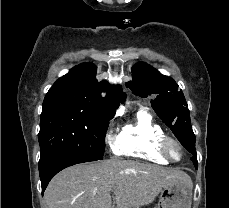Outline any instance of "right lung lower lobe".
I'll use <instances>...</instances> for the list:
<instances>
[{
	"label": "right lung lower lobe",
	"instance_id": "obj_1",
	"mask_svg": "<svg viewBox=\"0 0 229 208\" xmlns=\"http://www.w3.org/2000/svg\"><path fill=\"white\" fill-rule=\"evenodd\" d=\"M99 160L82 153L78 152H62L53 156L49 161L39 165V173L42 185V193L46 189L49 181L55 176L59 171L66 167L72 166L78 163L90 162Z\"/></svg>",
	"mask_w": 229,
	"mask_h": 208
}]
</instances>
